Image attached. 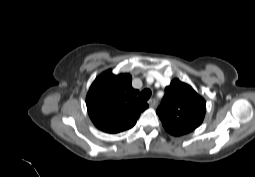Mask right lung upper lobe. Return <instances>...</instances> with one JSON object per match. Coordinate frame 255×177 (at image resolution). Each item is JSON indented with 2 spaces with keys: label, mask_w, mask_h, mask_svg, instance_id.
<instances>
[{
  "label": "right lung upper lobe",
  "mask_w": 255,
  "mask_h": 177,
  "mask_svg": "<svg viewBox=\"0 0 255 177\" xmlns=\"http://www.w3.org/2000/svg\"><path fill=\"white\" fill-rule=\"evenodd\" d=\"M130 74L114 75L107 70L92 83L87 97L88 114L94 125L107 133L132 128L148 104L137 99Z\"/></svg>",
  "instance_id": "right-lung-upper-lobe-1"
}]
</instances>
